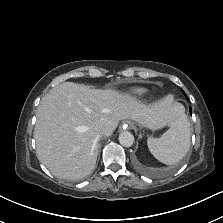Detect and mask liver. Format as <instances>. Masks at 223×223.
Returning a JSON list of instances; mask_svg holds the SVG:
<instances>
[{
  "mask_svg": "<svg viewBox=\"0 0 223 223\" xmlns=\"http://www.w3.org/2000/svg\"><path fill=\"white\" fill-rule=\"evenodd\" d=\"M184 107L171 96L145 105L127 93L96 90L73 82H64L45 95L36 112L34 129L37 158L56 177L80 179L95 165L100 135H111L120 120L131 119L157 130L173 121Z\"/></svg>",
  "mask_w": 223,
  "mask_h": 223,
  "instance_id": "1",
  "label": "liver"
}]
</instances>
